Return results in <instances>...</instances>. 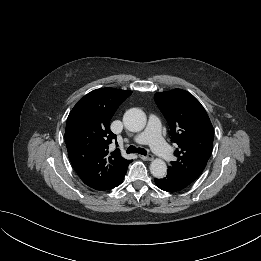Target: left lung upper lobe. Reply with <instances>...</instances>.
Segmentation results:
<instances>
[{
	"instance_id": "5c2ea615",
	"label": "left lung upper lobe",
	"mask_w": 261,
	"mask_h": 261,
	"mask_svg": "<svg viewBox=\"0 0 261 261\" xmlns=\"http://www.w3.org/2000/svg\"><path fill=\"white\" fill-rule=\"evenodd\" d=\"M154 100L166 118L177 144L176 161L168 173L192 184L203 172L213 149L214 129L201 103L189 92H158Z\"/></svg>"
}]
</instances>
